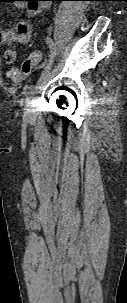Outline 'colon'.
Returning a JSON list of instances; mask_svg holds the SVG:
<instances>
[{"instance_id": "1", "label": "colon", "mask_w": 127, "mask_h": 303, "mask_svg": "<svg viewBox=\"0 0 127 303\" xmlns=\"http://www.w3.org/2000/svg\"><path fill=\"white\" fill-rule=\"evenodd\" d=\"M41 60L40 52L31 53L22 63L20 67H12L7 71V78L12 82H19L23 77L27 76L31 70L39 64Z\"/></svg>"}]
</instances>
